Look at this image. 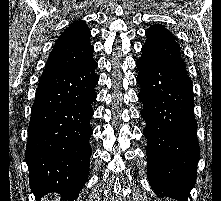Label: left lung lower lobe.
Masks as SVG:
<instances>
[{
    "label": "left lung lower lobe",
    "mask_w": 221,
    "mask_h": 201,
    "mask_svg": "<svg viewBox=\"0 0 221 201\" xmlns=\"http://www.w3.org/2000/svg\"><path fill=\"white\" fill-rule=\"evenodd\" d=\"M136 66L148 140V180L158 196L187 201L196 182L200 150L191 80L185 72L143 57Z\"/></svg>",
    "instance_id": "obj_1"
}]
</instances>
